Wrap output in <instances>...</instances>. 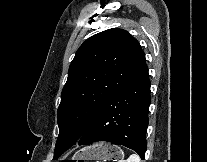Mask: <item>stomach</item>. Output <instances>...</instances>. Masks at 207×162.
<instances>
[{
  "instance_id": "obj_1",
  "label": "stomach",
  "mask_w": 207,
  "mask_h": 162,
  "mask_svg": "<svg viewBox=\"0 0 207 162\" xmlns=\"http://www.w3.org/2000/svg\"><path fill=\"white\" fill-rule=\"evenodd\" d=\"M123 157L124 152L119 147L107 143H98L81 149L72 160H76V162H82L78 160H119Z\"/></svg>"
}]
</instances>
